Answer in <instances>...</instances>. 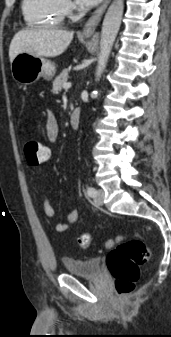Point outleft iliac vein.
<instances>
[{"instance_id": "4c4485c4", "label": "left iliac vein", "mask_w": 171, "mask_h": 337, "mask_svg": "<svg viewBox=\"0 0 171 337\" xmlns=\"http://www.w3.org/2000/svg\"><path fill=\"white\" fill-rule=\"evenodd\" d=\"M103 199H104V191L99 189L97 191V194L94 198V202L97 204V205H102L103 204Z\"/></svg>"}]
</instances>
